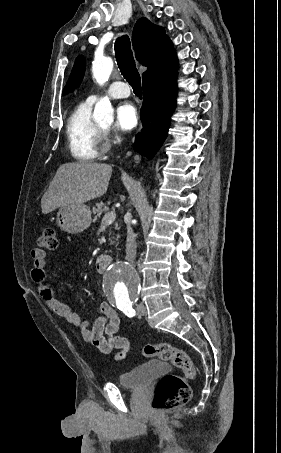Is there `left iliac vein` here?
I'll list each match as a JSON object with an SVG mask.
<instances>
[{
  "mask_svg": "<svg viewBox=\"0 0 281 453\" xmlns=\"http://www.w3.org/2000/svg\"><path fill=\"white\" fill-rule=\"evenodd\" d=\"M144 311H146L144 304H138L137 314L140 316H145Z\"/></svg>",
  "mask_w": 281,
  "mask_h": 453,
  "instance_id": "4c4485c4",
  "label": "left iliac vein"
}]
</instances>
